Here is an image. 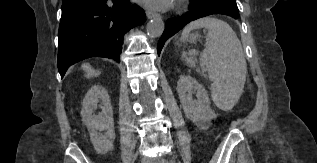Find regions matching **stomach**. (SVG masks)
<instances>
[{
    "label": "stomach",
    "instance_id": "obj_1",
    "mask_svg": "<svg viewBox=\"0 0 317 163\" xmlns=\"http://www.w3.org/2000/svg\"><path fill=\"white\" fill-rule=\"evenodd\" d=\"M199 38V35L197 33L195 34H188L184 39L182 38L183 41H189V42H195Z\"/></svg>",
    "mask_w": 317,
    "mask_h": 163
}]
</instances>
